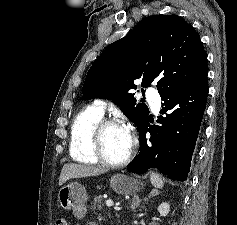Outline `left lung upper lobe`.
Segmentation results:
<instances>
[{
    "label": "left lung upper lobe",
    "mask_w": 237,
    "mask_h": 225,
    "mask_svg": "<svg viewBox=\"0 0 237 225\" xmlns=\"http://www.w3.org/2000/svg\"><path fill=\"white\" fill-rule=\"evenodd\" d=\"M207 74L206 52L194 28L177 15H153L104 50L82 92L85 99H111L139 129L149 110L136 103L134 80L142 79V87L156 81L161 95L196 86Z\"/></svg>",
    "instance_id": "obj_1"
}]
</instances>
